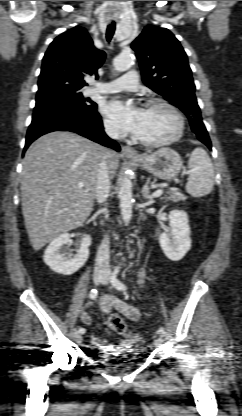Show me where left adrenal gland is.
<instances>
[{
    "instance_id": "1",
    "label": "left adrenal gland",
    "mask_w": 242,
    "mask_h": 416,
    "mask_svg": "<svg viewBox=\"0 0 242 416\" xmlns=\"http://www.w3.org/2000/svg\"><path fill=\"white\" fill-rule=\"evenodd\" d=\"M149 184H150V177L147 178L145 185L142 187L141 194H142L144 199L151 202L153 200V198H152V195L150 193Z\"/></svg>"
}]
</instances>
